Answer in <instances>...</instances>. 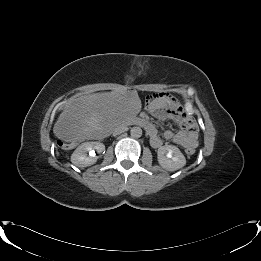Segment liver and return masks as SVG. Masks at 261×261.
Listing matches in <instances>:
<instances>
[{
    "instance_id": "liver-1",
    "label": "liver",
    "mask_w": 261,
    "mask_h": 261,
    "mask_svg": "<svg viewBox=\"0 0 261 261\" xmlns=\"http://www.w3.org/2000/svg\"><path fill=\"white\" fill-rule=\"evenodd\" d=\"M126 88L80 97L64 110L53 127L54 134L64 141L102 138L113 130L118 116L131 113ZM137 98V92L133 91Z\"/></svg>"
}]
</instances>
